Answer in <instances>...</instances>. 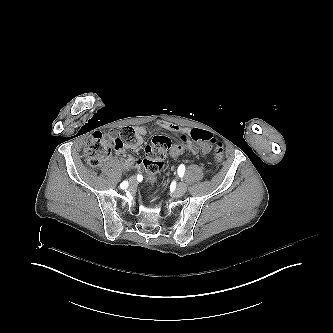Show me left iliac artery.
I'll return each mask as SVG.
<instances>
[{"label":"left iliac artery","mask_w":333,"mask_h":333,"mask_svg":"<svg viewBox=\"0 0 333 333\" xmlns=\"http://www.w3.org/2000/svg\"><path fill=\"white\" fill-rule=\"evenodd\" d=\"M184 172H185V166L184 165H180L179 168H178V175L180 177H182L184 175Z\"/></svg>","instance_id":"left-iliac-artery-1"}]
</instances>
